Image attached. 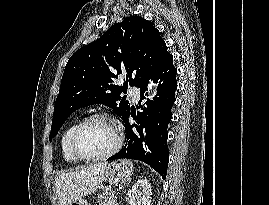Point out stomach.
Instances as JSON below:
<instances>
[{"label":"stomach","instance_id":"0dacf381","mask_svg":"<svg viewBox=\"0 0 269 205\" xmlns=\"http://www.w3.org/2000/svg\"><path fill=\"white\" fill-rule=\"evenodd\" d=\"M133 173V164L128 160L112 162L105 171V179L111 185L123 184ZM70 205H90L85 198H79L71 202Z\"/></svg>","mask_w":269,"mask_h":205}]
</instances>
